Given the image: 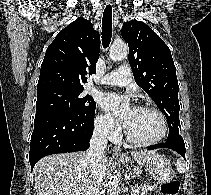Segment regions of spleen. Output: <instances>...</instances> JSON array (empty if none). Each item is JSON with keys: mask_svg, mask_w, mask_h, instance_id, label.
<instances>
[{"mask_svg": "<svg viewBox=\"0 0 211 195\" xmlns=\"http://www.w3.org/2000/svg\"><path fill=\"white\" fill-rule=\"evenodd\" d=\"M177 170L179 173H184L186 171L185 163L182 158H179L176 162Z\"/></svg>", "mask_w": 211, "mask_h": 195, "instance_id": "obj_1", "label": "spleen"}]
</instances>
